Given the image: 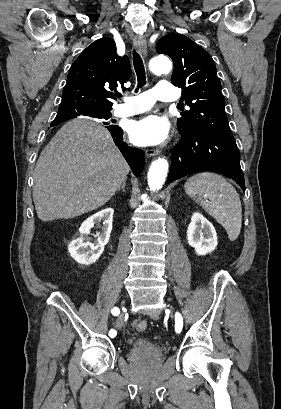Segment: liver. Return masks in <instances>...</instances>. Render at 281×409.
Returning <instances> with one entry per match:
<instances>
[{
    "mask_svg": "<svg viewBox=\"0 0 281 409\" xmlns=\"http://www.w3.org/2000/svg\"><path fill=\"white\" fill-rule=\"evenodd\" d=\"M130 170L100 122L73 118L43 148L34 170L38 219H72L105 205Z\"/></svg>",
    "mask_w": 281,
    "mask_h": 409,
    "instance_id": "1",
    "label": "liver"
}]
</instances>
